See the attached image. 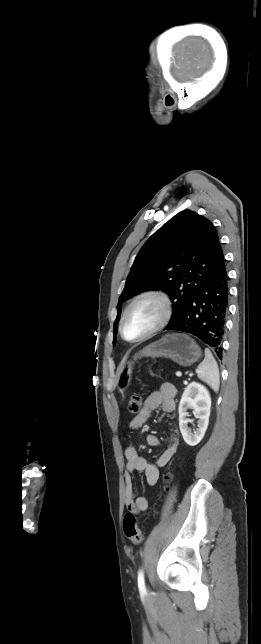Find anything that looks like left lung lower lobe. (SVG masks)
I'll list each match as a JSON object with an SVG mask.
<instances>
[{"label":"left lung lower lobe","instance_id":"left-lung-lower-lobe-1","mask_svg":"<svg viewBox=\"0 0 261 644\" xmlns=\"http://www.w3.org/2000/svg\"><path fill=\"white\" fill-rule=\"evenodd\" d=\"M228 280L226 260L223 255L182 314L165 330H177L195 335L213 347L221 358V341L229 301Z\"/></svg>","mask_w":261,"mask_h":644}]
</instances>
